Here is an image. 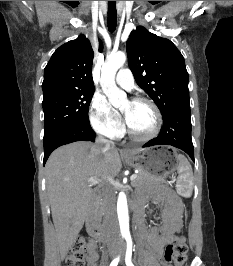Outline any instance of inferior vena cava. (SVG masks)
Listing matches in <instances>:
<instances>
[{"instance_id":"inferior-vena-cava-1","label":"inferior vena cava","mask_w":233,"mask_h":266,"mask_svg":"<svg viewBox=\"0 0 233 266\" xmlns=\"http://www.w3.org/2000/svg\"><path fill=\"white\" fill-rule=\"evenodd\" d=\"M96 143L102 146V152L108 150L110 147L114 146V143L103 138L98 137ZM103 198H104V227L106 231L111 236L117 234V218L115 212V203H114V190L109 183H106L103 187ZM116 245H119V242L116 241Z\"/></svg>"}]
</instances>
